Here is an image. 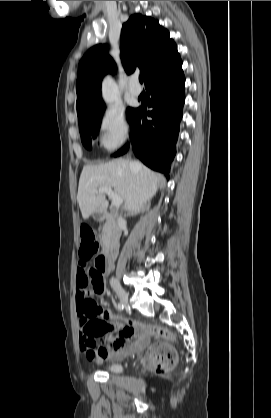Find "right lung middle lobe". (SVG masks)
<instances>
[{
	"label": "right lung middle lobe",
	"instance_id": "obj_1",
	"mask_svg": "<svg viewBox=\"0 0 271 418\" xmlns=\"http://www.w3.org/2000/svg\"><path fill=\"white\" fill-rule=\"evenodd\" d=\"M105 110V105L102 104L91 111L78 116L79 130L81 134V140L83 145L87 149L92 148V138H95L98 134L101 124L102 114ZM136 111V108H128V120L132 118Z\"/></svg>",
	"mask_w": 271,
	"mask_h": 418
}]
</instances>
